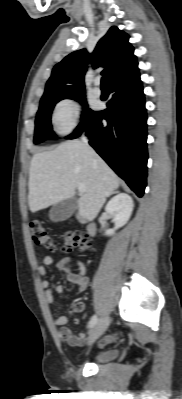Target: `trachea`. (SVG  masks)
<instances>
[{
	"mask_svg": "<svg viewBox=\"0 0 182 399\" xmlns=\"http://www.w3.org/2000/svg\"><path fill=\"white\" fill-rule=\"evenodd\" d=\"M101 87L102 88H108V78L107 77H102Z\"/></svg>",
	"mask_w": 182,
	"mask_h": 399,
	"instance_id": "1",
	"label": "trachea"
}]
</instances>
